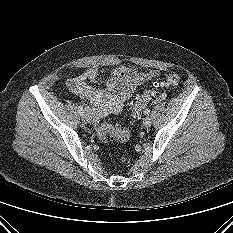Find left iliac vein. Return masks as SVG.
<instances>
[{
	"label": "left iliac vein",
	"mask_w": 233,
	"mask_h": 233,
	"mask_svg": "<svg viewBox=\"0 0 233 233\" xmlns=\"http://www.w3.org/2000/svg\"><path fill=\"white\" fill-rule=\"evenodd\" d=\"M151 124H152V121H151V119H150L149 117H145V118L143 119V125H144L146 128L150 127Z\"/></svg>",
	"instance_id": "obj_1"
}]
</instances>
